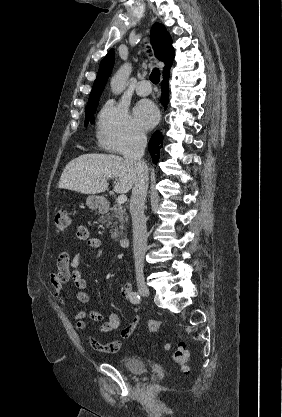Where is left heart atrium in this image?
Instances as JSON below:
<instances>
[{"mask_svg":"<svg viewBox=\"0 0 282 417\" xmlns=\"http://www.w3.org/2000/svg\"><path fill=\"white\" fill-rule=\"evenodd\" d=\"M135 119L142 128H149L158 119V111L150 102L142 101L135 108Z\"/></svg>","mask_w":282,"mask_h":417,"instance_id":"left-heart-atrium-1","label":"left heart atrium"}]
</instances>
